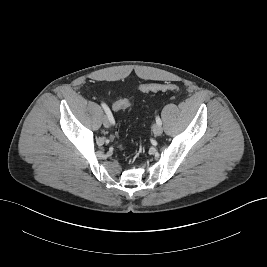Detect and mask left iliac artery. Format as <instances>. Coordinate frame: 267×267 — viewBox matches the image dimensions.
Listing matches in <instances>:
<instances>
[{"instance_id": "left-iliac-artery-1", "label": "left iliac artery", "mask_w": 267, "mask_h": 267, "mask_svg": "<svg viewBox=\"0 0 267 267\" xmlns=\"http://www.w3.org/2000/svg\"><path fill=\"white\" fill-rule=\"evenodd\" d=\"M156 123L162 125V121L159 116H156Z\"/></svg>"}]
</instances>
